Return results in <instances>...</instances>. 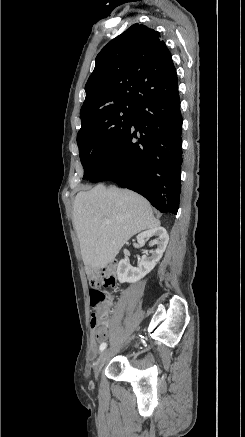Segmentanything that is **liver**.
I'll return each instance as SVG.
<instances>
[{
	"label": "liver",
	"mask_w": 245,
	"mask_h": 437,
	"mask_svg": "<svg viewBox=\"0 0 245 437\" xmlns=\"http://www.w3.org/2000/svg\"><path fill=\"white\" fill-rule=\"evenodd\" d=\"M106 220L110 223H105ZM73 225L89 275L91 270L108 265L132 236L159 227L160 221L140 195L99 184L76 195Z\"/></svg>",
	"instance_id": "liver-1"
}]
</instances>
